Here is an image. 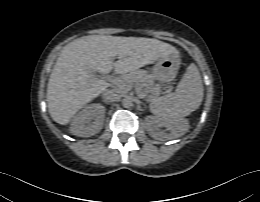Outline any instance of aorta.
Here are the masks:
<instances>
[{
	"mask_svg": "<svg viewBox=\"0 0 260 202\" xmlns=\"http://www.w3.org/2000/svg\"><path fill=\"white\" fill-rule=\"evenodd\" d=\"M132 103H133V101H132V98H131V97H125V98L122 100V105H123V107H125V108L131 107V106H132Z\"/></svg>",
	"mask_w": 260,
	"mask_h": 202,
	"instance_id": "1",
	"label": "aorta"
}]
</instances>
